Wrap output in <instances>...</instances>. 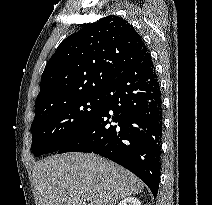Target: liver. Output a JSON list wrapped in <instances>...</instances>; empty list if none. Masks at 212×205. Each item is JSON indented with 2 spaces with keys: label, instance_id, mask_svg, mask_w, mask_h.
Listing matches in <instances>:
<instances>
[{
  "label": "liver",
  "instance_id": "1",
  "mask_svg": "<svg viewBox=\"0 0 212 205\" xmlns=\"http://www.w3.org/2000/svg\"><path fill=\"white\" fill-rule=\"evenodd\" d=\"M38 205H115L142 192V181L93 153L48 157L33 167Z\"/></svg>",
  "mask_w": 212,
  "mask_h": 205
}]
</instances>
